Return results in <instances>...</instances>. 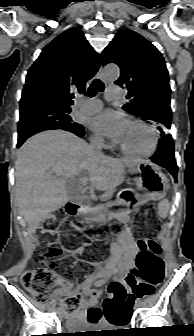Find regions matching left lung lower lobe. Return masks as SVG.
<instances>
[{
	"label": "left lung lower lobe",
	"instance_id": "obj_1",
	"mask_svg": "<svg viewBox=\"0 0 194 336\" xmlns=\"http://www.w3.org/2000/svg\"><path fill=\"white\" fill-rule=\"evenodd\" d=\"M151 160L165 167L174 177L175 181L177 180V164L174 157V143L171 135H164L159 141L158 150Z\"/></svg>",
	"mask_w": 194,
	"mask_h": 336
}]
</instances>
